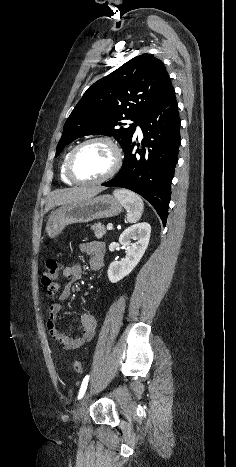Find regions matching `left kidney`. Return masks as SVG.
I'll list each match as a JSON object with an SVG mask.
<instances>
[{"label":"left kidney","mask_w":236,"mask_h":467,"mask_svg":"<svg viewBox=\"0 0 236 467\" xmlns=\"http://www.w3.org/2000/svg\"><path fill=\"white\" fill-rule=\"evenodd\" d=\"M150 233V224L142 222L127 228L120 235L119 243L126 247V257L122 261H114L109 265L107 274L111 283H117L137 266L148 247ZM131 239L136 242L132 244Z\"/></svg>","instance_id":"5707ae66"}]
</instances>
